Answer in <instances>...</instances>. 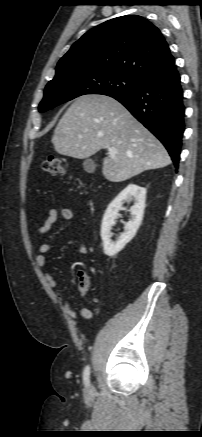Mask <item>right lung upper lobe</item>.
I'll return each mask as SVG.
<instances>
[{
  "mask_svg": "<svg viewBox=\"0 0 202 437\" xmlns=\"http://www.w3.org/2000/svg\"><path fill=\"white\" fill-rule=\"evenodd\" d=\"M173 62L155 25L141 16L125 15L85 33L60 59L55 77L68 72H114L142 80Z\"/></svg>",
  "mask_w": 202,
  "mask_h": 437,
  "instance_id": "1",
  "label": "right lung upper lobe"
}]
</instances>
